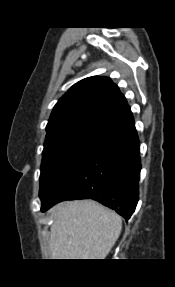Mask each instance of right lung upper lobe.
I'll use <instances>...</instances> for the list:
<instances>
[{"label": "right lung upper lobe", "mask_w": 175, "mask_h": 287, "mask_svg": "<svg viewBox=\"0 0 175 287\" xmlns=\"http://www.w3.org/2000/svg\"><path fill=\"white\" fill-rule=\"evenodd\" d=\"M119 88L107 77L93 76L74 84L56 103L46 131L84 123L117 126L132 118Z\"/></svg>", "instance_id": "cb5924a9"}]
</instances>
